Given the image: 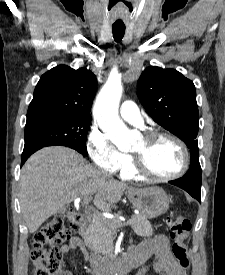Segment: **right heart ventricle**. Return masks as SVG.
<instances>
[{"label":"right heart ventricle","instance_id":"1","mask_svg":"<svg viewBox=\"0 0 225 275\" xmlns=\"http://www.w3.org/2000/svg\"><path fill=\"white\" fill-rule=\"evenodd\" d=\"M119 174L124 179L139 180L140 176L135 172L133 168V158L127 155L126 164L119 170Z\"/></svg>","mask_w":225,"mask_h":275}]
</instances>
